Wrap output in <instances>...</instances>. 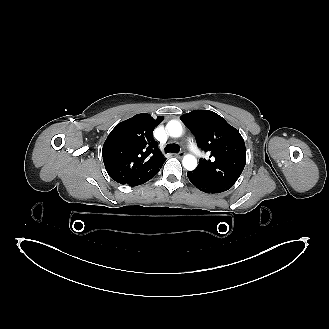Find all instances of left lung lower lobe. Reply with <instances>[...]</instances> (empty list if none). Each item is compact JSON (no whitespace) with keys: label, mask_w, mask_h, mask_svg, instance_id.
I'll list each match as a JSON object with an SVG mask.
<instances>
[{"label":"left lung lower lobe","mask_w":329,"mask_h":329,"mask_svg":"<svg viewBox=\"0 0 329 329\" xmlns=\"http://www.w3.org/2000/svg\"><path fill=\"white\" fill-rule=\"evenodd\" d=\"M187 176L190 180V182L196 186L199 190L205 192V193H221L224 192L225 190L215 186L213 184H210L203 179L197 177L194 173L191 171L187 172Z\"/></svg>","instance_id":"1"}]
</instances>
